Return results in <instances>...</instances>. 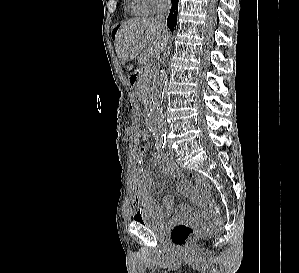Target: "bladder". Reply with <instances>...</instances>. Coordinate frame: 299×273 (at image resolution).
I'll return each instance as SVG.
<instances>
[{
	"instance_id": "1",
	"label": "bladder",
	"mask_w": 299,
	"mask_h": 273,
	"mask_svg": "<svg viewBox=\"0 0 299 273\" xmlns=\"http://www.w3.org/2000/svg\"><path fill=\"white\" fill-rule=\"evenodd\" d=\"M145 228L151 230L154 233L162 234L165 230V222L161 218H157L151 215H146L139 221Z\"/></svg>"
}]
</instances>
